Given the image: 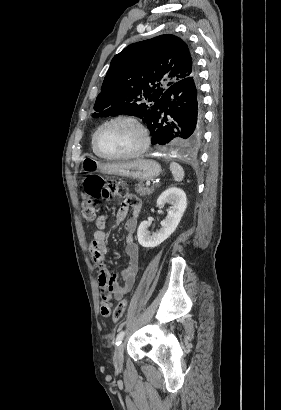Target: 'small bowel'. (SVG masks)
Returning <instances> with one entry per match:
<instances>
[{
	"label": "small bowel",
	"instance_id": "c3829d8e",
	"mask_svg": "<svg viewBox=\"0 0 281 410\" xmlns=\"http://www.w3.org/2000/svg\"><path fill=\"white\" fill-rule=\"evenodd\" d=\"M140 209V200L136 196L128 194L124 196L116 215V220L120 221L125 218L129 210H132L133 212V216L125 223V242L128 262L125 268L120 272V279L110 272L106 261V216L100 214L95 220L96 231L93 234V239L90 244V252L93 261L99 269L98 282L102 287L101 313L104 317L109 316L112 301L124 297L134 286L138 271L139 251L138 246L134 242L133 235L137 227V216ZM104 307L108 310V313L106 314L103 313Z\"/></svg>",
	"mask_w": 281,
	"mask_h": 410
}]
</instances>
